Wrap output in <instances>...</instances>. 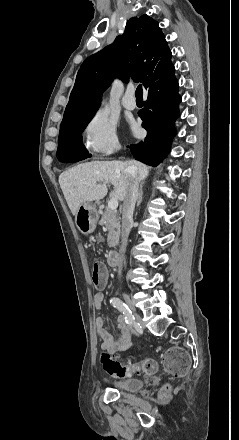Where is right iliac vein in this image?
Returning a JSON list of instances; mask_svg holds the SVG:
<instances>
[{"mask_svg": "<svg viewBox=\"0 0 239 440\" xmlns=\"http://www.w3.org/2000/svg\"><path fill=\"white\" fill-rule=\"evenodd\" d=\"M127 303H130L129 299L126 298ZM135 319L137 322L141 323V318L137 313H134Z\"/></svg>", "mask_w": 239, "mask_h": 440, "instance_id": "1", "label": "right iliac vein"}]
</instances>
